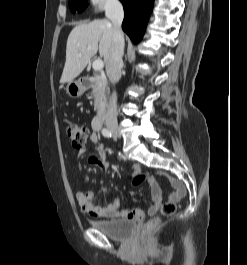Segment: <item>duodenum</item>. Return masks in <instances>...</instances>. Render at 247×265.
<instances>
[{
  "mask_svg": "<svg viewBox=\"0 0 247 265\" xmlns=\"http://www.w3.org/2000/svg\"><path fill=\"white\" fill-rule=\"evenodd\" d=\"M90 83L91 79L88 77L82 80V84L84 86H89ZM106 114H107V107L104 106L100 109L99 113L94 117L92 125L95 131H100V129L102 128Z\"/></svg>",
  "mask_w": 247,
  "mask_h": 265,
  "instance_id": "duodenum-1",
  "label": "duodenum"
}]
</instances>
